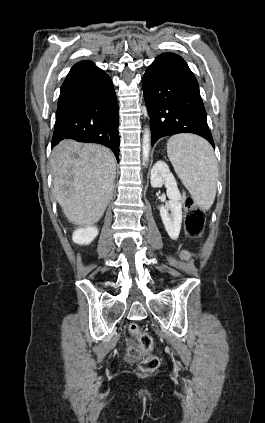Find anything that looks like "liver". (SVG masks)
Returning a JSON list of instances; mask_svg holds the SVG:
<instances>
[{"label": "liver", "instance_id": "1", "mask_svg": "<svg viewBox=\"0 0 265 423\" xmlns=\"http://www.w3.org/2000/svg\"><path fill=\"white\" fill-rule=\"evenodd\" d=\"M54 192L68 221L98 222L110 203L116 176L113 153L102 145L61 141L52 151Z\"/></svg>", "mask_w": 265, "mask_h": 423}]
</instances>
